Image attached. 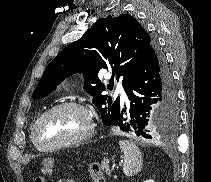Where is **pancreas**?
Instances as JSON below:
<instances>
[{
    "label": "pancreas",
    "mask_w": 211,
    "mask_h": 182,
    "mask_svg": "<svg viewBox=\"0 0 211 182\" xmlns=\"http://www.w3.org/2000/svg\"><path fill=\"white\" fill-rule=\"evenodd\" d=\"M102 170L107 173L108 175H110L111 170L110 167L108 166V164L106 162H103L101 165Z\"/></svg>",
    "instance_id": "cf45deb5"
}]
</instances>
